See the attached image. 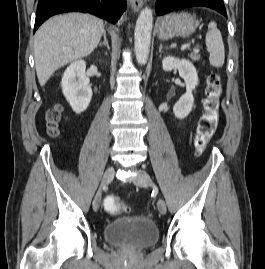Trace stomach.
<instances>
[{
	"label": "stomach",
	"mask_w": 265,
	"mask_h": 269,
	"mask_svg": "<svg viewBox=\"0 0 265 269\" xmlns=\"http://www.w3.org/2000/svg\"><path fill=\"white\" fill-rule=\"evenodd\" d=\"M198 25V20L190 13L169 14L157 22L158 38L168 40L174 37H188L195 32Z\"/></svg>",
	"instance_id": "stomach-1"
}]
</instances>
